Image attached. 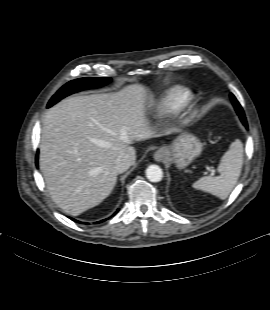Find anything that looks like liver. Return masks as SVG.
<instances>
[{
	"mask_svg": "<svg viewBox=\"0 0 270 310\" xmlns=\"http://www.w3.org/2000/svg\"><path fill=\"white\" fill-rule=\"evenodd\" d=\"M148 89L127 85L114 93L74 96L44 118L40 169L47 191L66 213L77 216L112 192L116 158L136 160L134 141L159 137L147 118Z\"/></svg>",
	"mask_w": 270,
	"mask_h": 310,
	"instance_id": "obj_1",
	"label": "liver"
}]
</instances>
